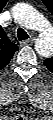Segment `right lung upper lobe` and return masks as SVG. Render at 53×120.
Returning a JSON list of instances; mask_svg holds the SVG:
<instances>
[{
    "mask_svg": "<svg viewBox=\"0 0 53 120\" xmlns=\"http://www.w3.org/2000/svg\"><path fill=\"white\" fill-rule=\"evenodd\" d=\"M18 50L16 44L12 43L5 33L2 35V39L0 41V64L2 67L6 66L10 59L12 58L15 51Z\"/></svg>",
    "mask_w": 53,
    "mask_h": 120,
    "instance_id": "right-lung-upper-lobe-1",
    "label": "right lung upper lobe"
}]
</instances>
